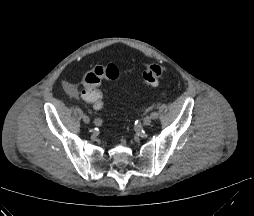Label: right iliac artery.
<instances>
[{
    "instance_id": "right-iliac-artery-1",
    "label": "right iliac artery",
    "mask_w": 254,
    "mask_h": 216,
    "mask_svg": "<svg viewBox=\"0 0 254 216\" xmlns=\"http://www.w3.org/2000/svg\"><path fill=\"white\" fill-rule=\"evenodd\" d=\"M93 122H94L95 125H101L102 124V120L100 118H95L93 120Z\"/></svg>"
}]
</instances>
